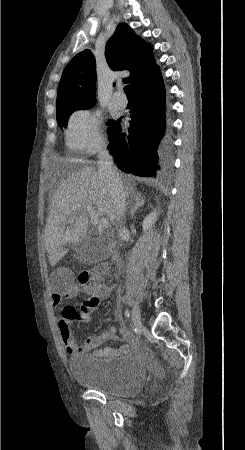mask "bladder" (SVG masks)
Returning <instances> with one entry per match:
<instances>
[{"mask_svg": "<svg viewBox=\"0 0 245 450\" xmlns=\"http://www.w3.org/2000/svg\"><path fill=\"white\" fill-rule=\"evenodd\" d=\"M75 381L104 395L130 397L144 385V367L136 356L96 358L84 355L69 360Z\"/></svg>", "mask_w": 245, "mask_h": 450, "instance_id": "obj_1", "label": "bladder"}]
</instances>
